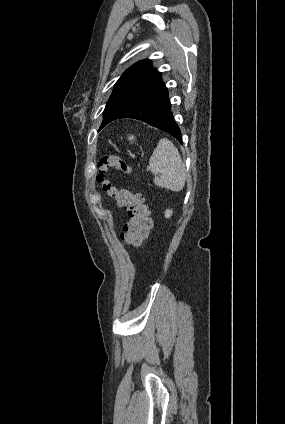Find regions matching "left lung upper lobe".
Listing matches in <instances>:
<instances>
[{"label": "left lung upper lobe", "mask_w": 285, "mask_h": 424, "mask_svg": "<svg viewBox=\"0 0 285 424\" xmlns=\"http://www.w3.org/2000/svg\"><path fill=\"white\" fill-rule=\"evenodd\" d=\"M161 73L152 67L150 60H142L128 68L116 82L112 95L103 112V123L109 113L127 97L149 85L160 77Z\"/></svg>", "instance_id": "1"}]
</instances>
